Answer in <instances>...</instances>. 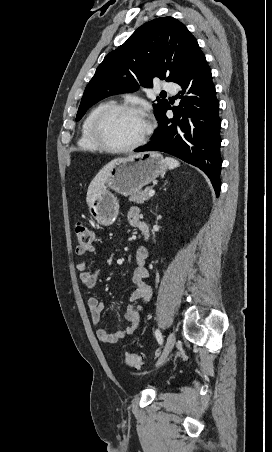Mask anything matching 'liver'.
<instances>
[{
  "label": "liver",
  "instance_id": "1",
  "mask_svg": "<svg viewBox=\"0 0 272 452\" xmlns=\"http://www.w3.org/2000/svg\"><path fill=\"white\" fill-rule=\"evenodd\" d=\"M117 161V159L112 160L111 162H109L107 165H105L98 173L97 175L93 178V180L91 181L89 187H88V191H87V197H86V202L88 204V206L91 204V201L93 199V197L101 190V188L103 187L109 171L111 170L113 164Z\"/></svg>",
  "mask_w": 272,
  "mask_h": 452
}]
</instances>
